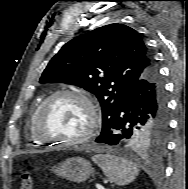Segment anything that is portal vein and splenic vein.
<instances>
[{
    "mask_svg": "<svg viewBox=\"0 0 188 189\" xmlns=\"http://www.w3.org/2000/svg\"><path fill=\"white\" fill-rule=\"evenodd\" d=\"M96 187H97L98 189H104V187H102V186H100V185H96Z\"/></svg>",
    "mask_w": 188,
    "mask_h": 189,
    "instance_id": "obj_1",
    "label": "portal vein and splenic vein"
}]
</instances>
